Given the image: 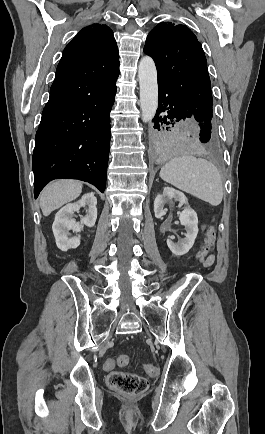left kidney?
I'll use <instances>...</instances> for the list:
<instances>
[{"instance_id":"5707ae66","label":"left kidney","mask_w":265,"mask_h":434,"mask_svg":"<svg viewBox=\"0 0 265 434\" xmlns=\"http://www.w3.org/2000/svg\"><path fill=\"white\" fill-rule=\"evenodd\" d=\"M171 198H174L175 202H179V204H185V210L181 212L179 220L182 226H185L187 234H185V238L181 242H178V244H174L172 240H167V246L175 256H184V254H187L191 250L195 238H197L198 218L196 212L190 208L186 196L182 192L174 190V188H163L162 194L156 196L154 202L155 218L165 216L166 210H163L164 204L168 200H171Z\"/></svg>"}]
</instances>
